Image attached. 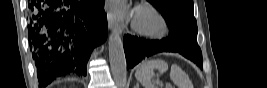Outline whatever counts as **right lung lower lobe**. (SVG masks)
I'll list each match as a JSON object with an SVG mask.
<instances>
[{"label":"right lung lower lobe","mask_w":267,"mask_h":88,"mask_svg":"<svg viewBox=\"0 0 267 88\" xmlns=\"http://www.w3.org/2000/svg\"><path fill=\"white\" fill-rule=\"evenodd\" d=\"M105 0H31L28 41L39 82L59 76H86L95 46L107 37Z\"/></svg>","instance_id":"1"}]
</instances>
